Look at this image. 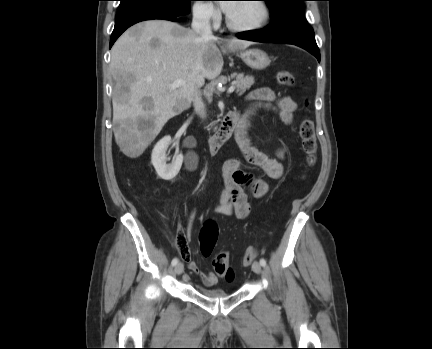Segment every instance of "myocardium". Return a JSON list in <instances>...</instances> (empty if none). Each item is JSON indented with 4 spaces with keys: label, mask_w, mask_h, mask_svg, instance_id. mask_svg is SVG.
Masks as SVG:
<instances>
[{
    "label": "myocardium",
    "mask_w": 432,
    "mask_h": 349,
    "mask_svg": "<svg viewBox=\"0 0 432 349\" xmlns=\"http://www.w3.org/2000/svg\"><path fill=\"white\" fill-rule=\"evenodd\" d=\"M253 1L257 2L262 10L261 19L252 25H237L231 20L229 15L226 14V25L228 26L229 29L236 32H252L263 28L268 23L271 13L267 2L265 0H253Z\"/></svg>",
    "instance_id": "obj_1"
}]
</instances>
